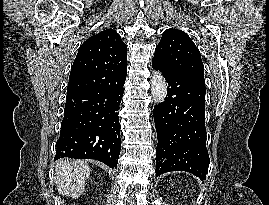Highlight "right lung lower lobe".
<instances>
[{
    "label": "right lung lower lobe",
    "instance_id": "right-lung-lower-lobe-1",
    "mask_svg": "<svg viewBox=\"0 0 269 205\" xmlns=\"http://www.w3.org/2000/svg\"><path fill=\"white\" fill-rule=\"evenodd\" d=\"M126 75L115 86L67 95L55 160L96 159L117 168L121 150L118 110Z\"/></svg>",
    "mask_w": 269,
    "mask_h": 205
}]
</instances>
